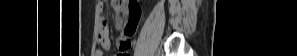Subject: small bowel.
Here are the masks:
<instances>
[{
	"label": "small bowel",
	"mask_w": 297,
	"mask_h": 56,
	"mask_svg": "<svg viewBox=\"0 0 297 56\" xmlns=\"http://www.w3.org/2000/svg\"><path fill=\"white\" fill-rule=\"evenodd\" d=\"M112 7L116 10V27L122 31L121 36L117 41V46L120 50L118 56H128L127 50L130 46L129 38L135 34L137 24L140 17V7L135 0L110 1ZM129 16L127 22L125 16ZM98 44L100 49L95 53L96 56H102L103 51H107L111 47L109 27L105 19L101 20L98 31Z\"/></svg>",
	"instance_id": "c3829d8e"
}]
</instances>
